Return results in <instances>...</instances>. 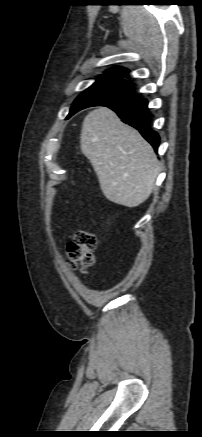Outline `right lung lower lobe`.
Here are the masks:
<instances>
[{
    "label": "right lung lower lobe",
    "instance_id": "right-lung-lower-lobe-1",
    "mask_svg": "<svg viewBox=\"0 0 202 437\" xmlns=\"http://www.w3.org/2000/svg\"><path fill=\"white\" fill-rule=\"evenodd\" d=\"M148 102L146 99L123 100L107 106L115 111L123 122L138 129L142 136L157 151L160 138L159 135L150 128V113L148 112Z\"/></svg>",
    "mask_w": 202,
    "mask_h": 437
}]
</instances>
